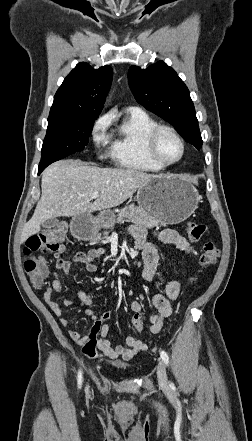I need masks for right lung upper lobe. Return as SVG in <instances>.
Instances as JSON below:
<instances>
[{"instance_id":"right-lung-upper-lobe-1","label":"right lung upper lobe","mask_w":252,"mask_h":441,"mask_svg":"<svg viewBox=\"0 0 252 441\" xmlns=\"http://www.w3.org/2000/svg\"><path fill=\"white\" fill-rule=\"evenodd\" d=\"M112 81V68L99 69L79 63L65 78L54 96L50 113L98 117Z\"/></svg>"}]
</instances>
